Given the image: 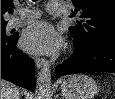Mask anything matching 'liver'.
Masks as SVG:
<instances>
[{"label": "liver", "mask_w": 115, "mask_h": 99, "mask_svg": "<svg viewBox=\"0 0 115 99\" xmlns=\"http://www.w3.org/2000/svg\"><path fill=\"white\" fill-rule=\"evenodd\" d=\"M1 99H20L19 88L1 79Z\"/></svg>", "instance_id": "6515ba94"}]
</instances>
